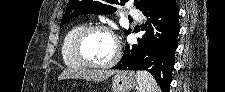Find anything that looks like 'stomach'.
Here are the masks:
<instances>
[{
	"mask_svg": "<svg viewBox=\"0 0 225 92\" xmlns=\"http://www.w3.org/2000/svg\"><path fill=\"white\" fill-rule=\"evenodd\" d=\"M137 85V77L133 71H118L112 78V92H130Z\"/></svg>",
	"mask_w": 225,
	"mask_h": 92,
	"instance_id": "stomach-1",
	"label": "stomach"
}]
</instances>
